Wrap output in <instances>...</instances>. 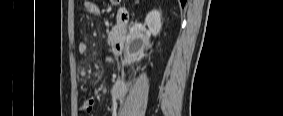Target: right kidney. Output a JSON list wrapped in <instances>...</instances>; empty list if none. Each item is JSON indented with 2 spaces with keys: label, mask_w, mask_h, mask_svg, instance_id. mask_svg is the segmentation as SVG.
<instances>
[{
  "label": "right kidney",
  "mask_w": 283,
  "mask_h": 116,
  "mask_svg": "<svg viewBox=\"0 0 283 116\" xmlns=\"http://www.w3.org/2000/svg\"><path fill=\"white\" fill-rule=\"evenodd\" d=\"M145 23L148 26L149 33L138 32L127 38V55L132 60L142 59L146 55L145 51L151 48L152 44L149 42L150 35L157 36L161 30V13L157 10H152L147 14Z\"/></svg>",
  "instance_id": "1"
}]
</instances>
